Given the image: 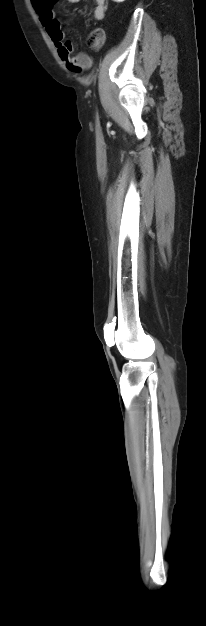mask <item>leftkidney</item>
I'll return each instance as SVG.
<instances>
[{"label": "left kidney", "mask_w": 206, "mask_h": 626, "mask_svg": "<svg viewBox=\"0 0 206 626\" xmlns=\"http://www.w3.org/2000/svg\"><path fill=\"white\" fill-rule=\"evenodd\" d=\"M114 2H124L125 0H112Z\"/></svg>", "instance_id": "left-kidney-1"}]
</instances>
